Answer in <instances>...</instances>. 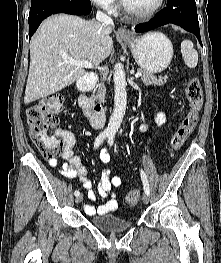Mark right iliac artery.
I'll return each mask as SVG.
<instances>
[{
	"label": "right iliac artery",
	"instance_id": "right-iliac-artery-1",
	"mask_svg": "<svg viewBox=\"0 0 221 263\" xmlns=\"http://www.w3.org/2000/svg\"><path fill=\"white\" fill-rule=\"evenodd\" d=\"M108 137V133H105V132H102L98 135V137L95 139V142H94V147L97 148L102 142L103 140ZM74 195L75 196H78L80 195V192L78 190H76L74 192Z\"/></svg>",
	"mask_w": 221,
	"mask_h": 263
}]
</instances>
